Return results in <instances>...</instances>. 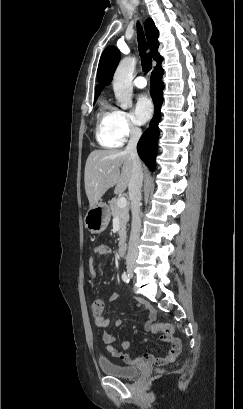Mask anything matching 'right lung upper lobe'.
I'll return each mask as SVG.
<instances>
[{
  "mask_svg": "<svg viewBox=\"0 0 243 409\" xmlns=\"http://www.w3.org/2000/svg\"><path fill=\"white\" fill-rule=\"evenodd\" d=\"M145 32L152 57L154 58V60L159 62L162 59V57L158 53L159 42L157 39L159 32L155 27L153 20L150 18L145 21ZM119 61V50L115 46H108L104 50L100 58L97 70V79L101 85L96 86L95 97H98L100 95L104 85H108L111 83L113 74Z\"/></svg>",
  "mask_w": 243,
  "mask_h": 409,
  "instance_id": "right-lung-upper-lobe-1",
  "label": "right lung upper lobe"
}]
</instances>
